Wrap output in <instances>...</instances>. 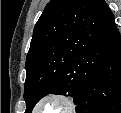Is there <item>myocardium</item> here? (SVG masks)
<instances>
[{
    "instance_id": "obj_1",
    "label": "myocardium",
    "mask_w": 121,
    "mask_h": 113,
    "mask_svg": "<svg viewBox=\"0 0 121 113\" xmlns=\"http://www.w3.org/2000/svg\"><path fill=\"white\" fill-rule=\"evenodd\" d=\"M48 100H56L62 102L66 106V110L63 113H70L75 110L74 101L67 95L61 93H49L37 100L33 108L34 113H38L39 107Z\"/></svg>"
}]
</instances>
